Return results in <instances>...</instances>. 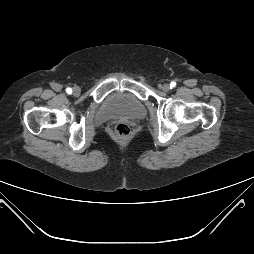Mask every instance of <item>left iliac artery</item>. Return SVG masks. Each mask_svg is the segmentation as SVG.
<instances>
[{"label": "left iliac artery", "mask_w": 254, "mask_h": 254, "mask_svg": "<svg viewBox=\"0 0 254 254\" xmlns=\"http://www.w3.org/2000/svg\"><path fill=\"white\" fill-rule=\"evenodd\" d=\"M175 86H176V83L175 82H171L170 88H174Z\"/></svg>", "instance_id": "obj_1"}]
</instances>
